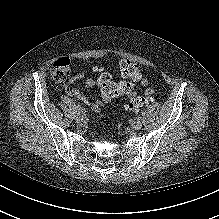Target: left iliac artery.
<instances>
[{"mask_svg":"<svg viewBox=\"0 0 219 219\" xmlns=\"http://www.w3.org/2000/svg\"><path fill=\"white\" fill-rule=\"evenodd\" d=\"M137 120H139V121L142 120V117L138 116V117H137Z\"/></svg>","mask_w":219,"mask_h":219,"instance_id":"1","label":"left iliac artery"}]
</instances>
